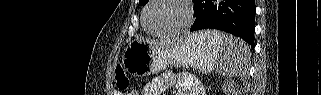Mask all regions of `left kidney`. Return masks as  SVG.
Returning a JSON list of instances; mask_svg holds the SVG:
<instances>
[{
    "instance_id": "1",
    "label": "left kidney",
    "mask_w": 321,
    "mask_h": 95,
    "mask_svg": "<svg viewBox=\"0 0 321 95\" xmlns=\"http://www.w3.org/2000/svg\"><path fill=\"white\" fill-rule=\"evenodd\" d=\"M223 90L226 91L228 95H230V94L236 95V92H235V90H233V88L228 87V88H224Z\"/></svg>"
}]
</instances>
